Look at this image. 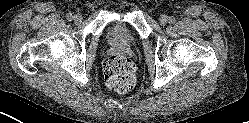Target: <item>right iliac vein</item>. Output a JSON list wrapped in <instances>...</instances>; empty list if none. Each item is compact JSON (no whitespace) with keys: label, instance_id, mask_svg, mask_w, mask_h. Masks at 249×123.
Masks as SVG:
<instances>
[{"label":"right iliac vein","instance_id":"63e3f726","mask_svg":"<svg viewBox=\"0 0 249 123\" xmlns=\"http://www.w3.org/2000/svg\"><path fill=\"white\" fill-rule=\"evenodd\" d=\"M82 20H83V17H82V15H80V14H78V15H76V16L74 17V21H75L76 23H81Z\"/></svg>","mask_w":249,"mask_h":123}]
</instances>
